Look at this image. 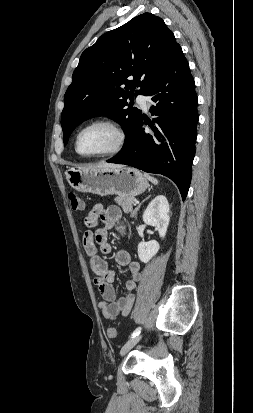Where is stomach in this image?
Instances as JSON below:
<instances>
[{
    "mask_svg": "<svg viewBox=\"0 0 253 413\" xmlns=\"http://www.w3.org/2000/svg\"><path fill=\"white\" fill-rule=\"evenodd\" d=\"M68 184L79 192L100 196H136L149 186L146 177L136 168H70L66 172Z\"/></svg>",
    "mask_w": 253,
    "mask_h": 413,
    "instance_id": "stomach-1",
    "label": "stomach"
}]
</instances>
